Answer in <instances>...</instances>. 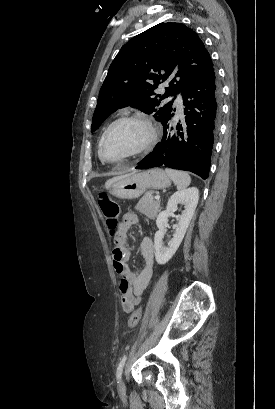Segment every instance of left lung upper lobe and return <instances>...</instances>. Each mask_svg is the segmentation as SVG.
Masks as SVG:
<instances>
[{"label": "left lung upper lobe", "instance_id": "5c2ea615", "mask_svg": "<svg viewBox=\"0 0 275 409\" xmlns=\"http://www.w3.org/2000/svg\"><path fill=\"white\" fill-rule=\"evenodd\" d=\"M210 54L198 35L181 23H160L122 46L100 89L91 132L119 108L131 106L163 123L173 110L174 96L212 68ZM163 95L154 90L161 82Z\"/></svg>", "mask_w": 275, "mask_h": 409}]
</instances>
